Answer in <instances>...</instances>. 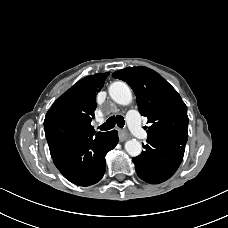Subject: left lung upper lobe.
Wrapping results in <instances>:
<instances>
[{"mask_svg":"<svg viewBox=\"0 0 228 228\" xmlns=\"http://www.w3.org/2000/svg\"><path fill=\"white\" fill-rule=\"evenodd\" d=\"M112 76L127 82L133 89L138 110L150 123L146 126L148 137H168L186 144L187 106L162 76L144 66L128 67Z\"/></svg>","mask_w":228,"mask_h":228,"instance_id":"left-lung-upper-lobe-1","label":"left lung upper lobe"}]
</instances>
